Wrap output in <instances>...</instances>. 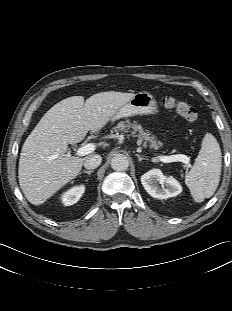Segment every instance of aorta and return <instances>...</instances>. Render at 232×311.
I'll return each mask as SVG.
<instances>
[{
	"mask_svg": "<svg viewBox=\"0 0 232 311\" xmlns=\"http://www.w3.org/2000/svg\"><path fill=\"white\" fill-rule=\"evenodd\" d=\"M111 167L115 171H124L129 167V161L125 155L117 154L111 160Z\"/></svg>",
	"mask_w": 232,
	"mask_h": 311,
	"instance_id": "1",
	"label": "aorta"
}]
</instances>
